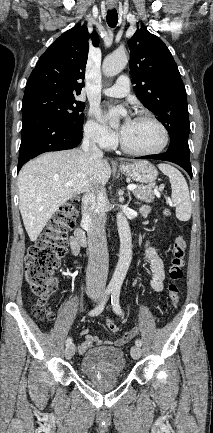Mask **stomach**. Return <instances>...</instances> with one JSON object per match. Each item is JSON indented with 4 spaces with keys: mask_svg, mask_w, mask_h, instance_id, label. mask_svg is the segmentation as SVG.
Returning a JSON list of instances; mask_svg holds the SVG:
<instances>
[{
    "mask_svg": "<svg viewBox=\"0 0 213 433\" xmlns=\"http://www.w3.org/2000/svg\"><path fill=\"white\" fill-rule=\"evenodd\" d=\"M120 171L140 183L154 184L158 172L148 161H135L119 167Z\"/></svg>",
    "mask_w": 213,
    "mask_h": 433,
    "instance_id": "obj_1",
    "label": "stomach"
}]
</instances>
